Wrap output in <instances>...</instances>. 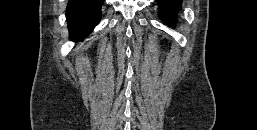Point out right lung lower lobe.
<instances>
[{
	"label": "right lung lower lobe",
	"instance_id": "obj_1",
	"mask_svg": "<svg viewBox=\"0 0 257 130\" xmlns=\"http://www.w3.org/2000/svg\"><path fill=\"white\" fill-rule=\"evenodd\" d=\"M104 0H69L66 10L70 39L82 41L100 22Z\"/></svg>",
	"mask_w": 257,
	"mask_h": 130
}]
</instances>
